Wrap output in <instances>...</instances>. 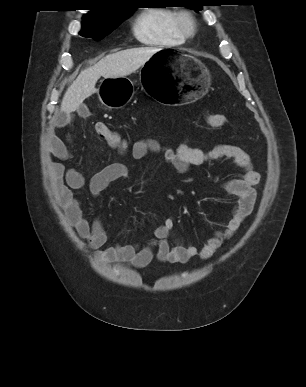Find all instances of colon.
<instances>
[{
    "instance_id": "colon-1",
    "label": "colon",
    "mask_w": 306,
    "mask_h": 387,
    "mask_svg": "<svg viewBox=\"0 0 306 387\" xmlns=\"http://www.w3.org/2000/svg\"><path fill=\"white\" fill-rule=\"evenodd\" d=\"M206 122L212 128H220L225 124V116L222 114L210 113L206 116ZM95 130L97 135L110 146L119 151H124L126 149L124 140L106 123L98 122L95 125Z\"/></svg>"
}]
</instances>
